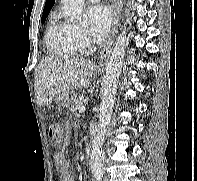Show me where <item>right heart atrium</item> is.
Listing matches in <instances>:
<instances>
[{"label": "right heart atrium", "mask_w": 197, "mask_h": 181, "mask_svg": "<svg viewBox=\"0 0 197 181\" xmlns=\"http://www.w3.org/2000/svg\"><path fill=\"white\" fill-rule=\"evenodd\" d=\"M75 34L79 47L81 49L88 48L90 45V38L88 37L86 32L80 29H75Z\"/></svg>", "instance_id": "right-heart-atrium-1"}]
</instances>
